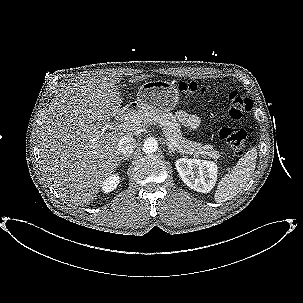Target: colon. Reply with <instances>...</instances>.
I'll use <instances>...</instances> for the list:
<instances>
[{"instance_id": "obj_1", "label": "colon", "mask_w": 303, "mask_h": 303, "mask_svg": "<svg viewBox=\"0 0 303 303\" xmlns=\"http://www.w3.org/2000/svg\"><path fill=\"white\" fill-rule=\"evenodd\" d=\"M181 88L185 92L206 93L204 88H199L192 83H184L181 85ZM251 108V100L239 93L232 92L227 96L226 110L227 116L231 121L236 122L240 120ZM220 136L227 142L235 155H241L243 153L247 135L241 126L237 124L225 125L220 129Z\"/></svg>"}]
</instances>
